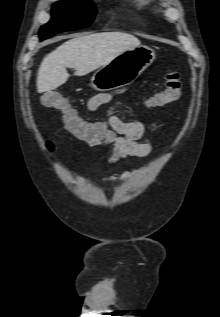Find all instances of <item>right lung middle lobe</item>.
<instances>
[{
  "label": "right lung middle lobe",
  "instance_id": "1",
  "mask_svg": "<svg viewBox=\"0 0 220 317\" xmlns=\"http://www.w3.org/2000/svg\"><path fill=\"white\" fill-rule=\"evenodd\" d=\"M96 7L86 0H64L56 2L52 9V19L40 28V39L65 32L75 31L91 25Z\"/></svg>",
  "mask_w": 220,
  "mask_h": 317
}]
</instances>
